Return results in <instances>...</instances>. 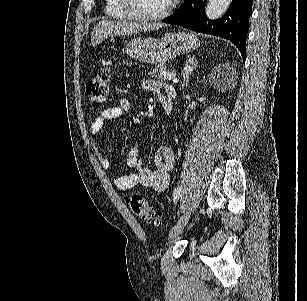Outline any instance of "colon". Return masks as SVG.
I'll return each mask as SVG.
<instances>
[{"mask_svg": "<svg viewBox=\"0 0 307 301\" xmlns=\"http://www.w3.org/2000/svg\"><path fill=\"white\" fill-rule=\"evenodd\" d=\"M109 79V71L107 69H101L87 81L86 93L91 101L98 104H103L107 101L109 95ZM129 205L132 212L143 220H152L157 217L155 210L141 195H131L129 197Z\"/></svg>", "mask_w": 307, "mask_h": 301, "instance_id": "5ec220e1", "label": "colon"}]
</instances>
